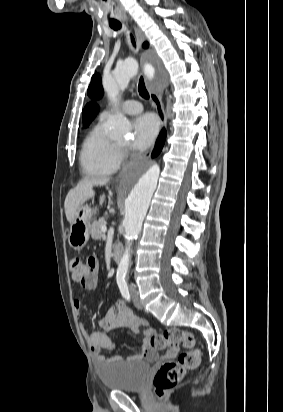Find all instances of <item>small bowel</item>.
Listing matches in <instances>:
<instances>
[{
	"label": "small bowel",
	"mask_w": 283,
	"mask_h": 412,
	"mask_svg": "<svg viewBox=\"0 0 283 412\" xmlns=\"http://www.w3.org/2000/svg\"><path fill=\"white\" fill-rule=\"evenodd\" d=\"M97 271L98 268L94 273H91L80 281L84 289L92 291L98 287L99 277ZM73 306L76 314L81 317L83 314L82 301L80 299H75L73 301ZM98 325L103 330V332L90 331L86 325H82L81 329L84 336L86 337V340L91 348L92 355L99 368H102L106 362H121L125 359L130 361H141L155 357V353L150 346V336L155 332L148 328V321L146 319L136 317L125 302L118 301L114 306L110 307L106 311L104 316L99 318ZM119 328H129L134 332L142 333L143 345L139 354L127 358L119 355H114L106 358L101 354L102 350H113L115 348V344L113 343L107 332ZM176 354L177 349L171 348L168 350L166 356L174 357Z\"/></svg>",
	"instance_id": "c3829d8e"
}]
</instances>
